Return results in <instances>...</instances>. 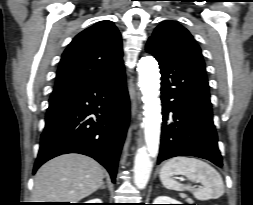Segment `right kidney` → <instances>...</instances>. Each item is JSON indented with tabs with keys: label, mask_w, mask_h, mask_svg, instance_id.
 <instances>
[{
	"label": "right kidney",
	"mask_w": 253,
	"mask_h": 205,
	"mask_svg": "<svg viewBox=\"0 0 253 205\" xmlns=\"http://www.w3.org/2000/svg\"><path fill=\"white\" fill-rule=\"evenodd\" d=\"M86 203H102V201L98 198L92 199L90 201H87Z\"/></svg>",
	"instance_id": "ca27d5eb"
}]
</instances>
